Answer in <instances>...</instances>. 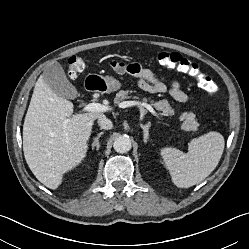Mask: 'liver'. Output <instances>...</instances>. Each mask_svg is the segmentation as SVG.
Returning a JSON list of instances; mask_svg holds the SVG:
<instances>
[{
  "instance_id": "1",
  "label": "liver",
  "mask_w": 249,
  "mask_h": 249,
  "mask_svg": "<svg viewBox=\"0 0 249 249\" xmlns=\"http://www.w3.org/2000/svg\"><path fill=\"white\" fill-rule=\"evenodd\" d=\"M73 107L43 76L38 79L24 120L23 151L32 173L50 189L84 160L93 123L105 116L97 111L73 114Z\"/></svg>"
}]
</instances>
